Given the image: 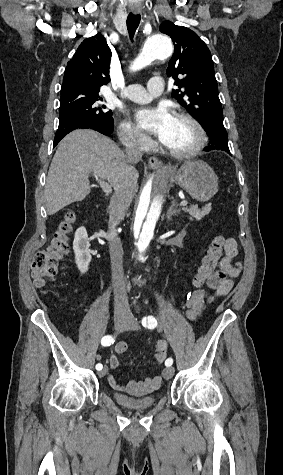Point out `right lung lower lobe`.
Masks as SVG:
<instances>
[{
	"instance_id": "obj_1",
	"label": "right lung lower lobe",
	"mask_w": 283,
	"mask_h": 475,
	"mask_svg": "<svg viewBox=\"0 0 283 475\" xmlns=\"http://www.w3.org/2000/svg\"><path fill=\"white\" fill-rule=\"evenodd\" d=\"M75 129H93L104 135H110L113 132V124L96 122L84 115H69L59 119V127L55 134L54 146Z\"/></svg>"
}]
</instances>
